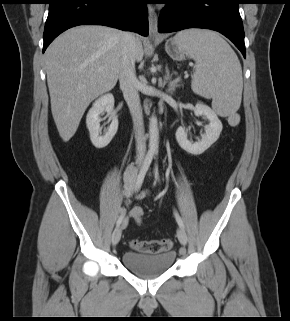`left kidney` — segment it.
I'll list each match as a JSON object with an SVG mask.
<instances>
[{
    "label": "left kidney",
    "instance_id": "1",
    "mask_svg": "<svg viewBox=\"0 0 290 321\" xmlns=\"http://www.w3.org/2000/svg\"><path fill=\"white\" fill-rule=\"evenodd\" d=\"M194 113L197 116H205L210 122L209 125L205 127V134L202 136V139L198 142L189 141L185 129L179 127L176 131V140L180 147L186 152L199 155L217 141L223 126L216 113L201 102L196 104Z\"/></svg>",
    "mask_w": 290,
    "mask_h": 321
}]
</instances>
